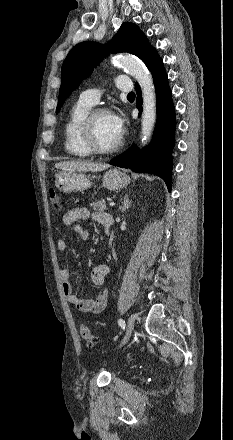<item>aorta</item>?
<instances>
[{
    "instance_id": "obj_1",
    "label": "aorta",
    "mask_w": 233,
    "mask_h": 440,
    "mask_svg": "<svg viewBox=\"0 0 233 440\" xmlns=\"http://www.w3.org/2000/svg\"><path fill=\"white\" fill-rule=\"evenodd\" d=\"M118 66L133 76L139 83L143 96V113L141 120V140L146 143L156 122V98L153 78L144 63L132 55H121L115 59Z\"/></svg>"
}]
</instances>
